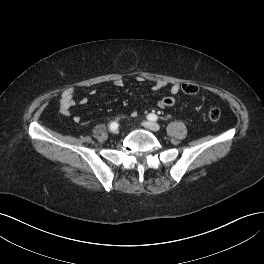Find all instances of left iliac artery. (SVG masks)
<instances>
[{
	"label": "left iliac artery",
	"instance_id": "obj_1",
	"mask_svg": "<svg viewBox=\"0 0 264 264\" xmlns=\"http://www.w3.org/2000/svg\"><path fill=\"white\" fill-rule=\"evenodd\" d=\"M147 119L150 121H157L158 116L156 114L151 113L147 116Z\"/></svg>",
	"mask_w": 264,
	"mask_h": 264
}]
</instances>
